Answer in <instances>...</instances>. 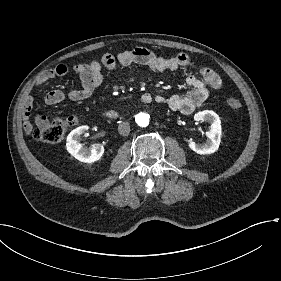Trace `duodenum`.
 Wrapping results in <instances>:
<instances>
[{"instance_id":"410a0bca","label":"duodenum","mask_w":281,"mask_h":281,"mask_svg":"<svg viewBox=\"0 0 281 281\" xmlns=\"http://www.w3.org/2000/svg\"><path fill=\"white\" fill-rule=\"evenodd\" d=\"M152 95L147 93L141 97V101L144 103L150 102ZM100 118L102 119H116L117 113L114 111H106L100 114Z\"/></svg>"}]
</instances>
